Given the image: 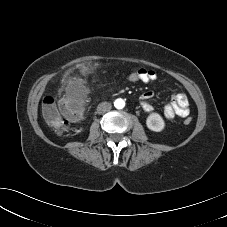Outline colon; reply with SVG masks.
Wrapping results in <instances>:
<instances>
[{
    "instance_id": "5ec220e1",
    "label": "colon",
    "mask_w": 227,
    "mask_h": 227,
    "mask_svg": "<svg viewBox=\"0 0 227 227\" xmlns=\"http://www.w3.org/2000/svg\"><path fill=\"white\" fill-rule=\"evenodd\" d=\"M124 79L129 83H136L142 80V74L137 69L124 74ZM42 114L50 127L58 132H64L69 128L71 122L78 120L82 115V108L69 99H62L59 102L52 96H46L42 102ZM184 123L190 124L192 118L189 113L183 116Z\"/></svg>"
}]
</instances>
